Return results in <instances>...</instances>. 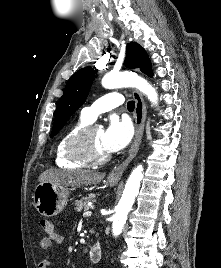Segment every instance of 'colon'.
Wrapping results in <instances>:
<instances>
[{"label": "colon", "instance_id": "colon-1", "mask_svg": "<svg viewBox=\"0 0 221 268\" xmlns=\"http://www.w3.org/2000/svg\"><path fill=\"white\" fill-rule=\"evenodd\" d=\"M40 226L46 233L51 232L54 228L53 223L50 220L44 218L40 220Z\"/></svg>", "mask_w": 221, "mask_h": 268}]
</instances>
